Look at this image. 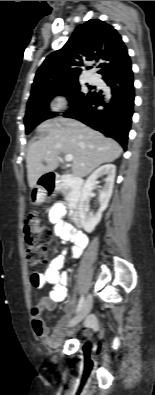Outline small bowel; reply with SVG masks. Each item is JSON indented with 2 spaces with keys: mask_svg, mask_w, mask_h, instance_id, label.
<instances>
[{
  "mask_svg": "<svg viewBox=\"0 0 155 395\" xmlns=\"http://www.w3.org/2000/svg\"><path fill=\"white\" fill-rule=\"evenodd\" d=\"M65 215V206L62 203L54 204L49 211V220L54 224V232L56 236L65 244V252L67 251L75 259L82 255L83 250L87 246L88 238L85 234L76 231L67 224L63 217ZM70 242V244H68ZM64 265V256H59L52 260L44 273L41 267H32L30 273V289L32 292H47V285H53V289L47 297L36 300L35 306L31 309L32 328L37 336L44 344L49 347H57L62 342L65 335V327L69 321L73 311V304H69L64 309V316L56 326L53 333L44 323L41 312L45 310H53L56 303L62 302L67 295V285L69 281L68 274L60 270ZM87 323L90 326L95 325V319L89 318Z\"/></svg>",
  "mask_w": 155,
  "mask_h": 395,
  "instance_id": "obj_1",
  "label": "small bowel"
}]
</instances>
